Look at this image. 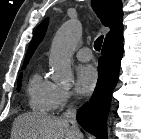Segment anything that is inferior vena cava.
<instances>
[{"label": "inferior vena cava", "instance_id": "602c4592", "mask_svg": "<svg viewBox=\"0 0 141 139\" xmlns=\"http://www.w3.org/2000/svg\"><path fill=\"white\" fill-rule=\"evenodd\" d=\"M63 119L67 120L72 124L71 129L74 131L77 138H82V134L78 128L77 120H76V109L73 106H68L67 110L62 115Z\"/></svg>", "mask_w": 141, "mask_h": 139}]
</instances>
